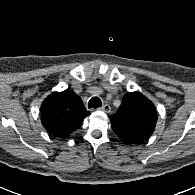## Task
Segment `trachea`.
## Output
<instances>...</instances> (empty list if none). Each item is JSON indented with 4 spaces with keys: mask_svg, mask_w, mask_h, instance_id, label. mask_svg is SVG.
Segmentation results:
<instances>
[{
    "mask_svg": "<svg viewBox=\"0 0 195 195\" xmlns=\"http://www.w3.org/2000/svg\"><path fill=\"white\" fill-rule=\"evenodd\" d=\"M102 106V102L98 97H92L88 102V108H98Z\"/></svg>",
    "mask_w": 195,
    "mask_h": 195,
    "instance_id": "1",
    "label": "trachea"
}]
</instances>
